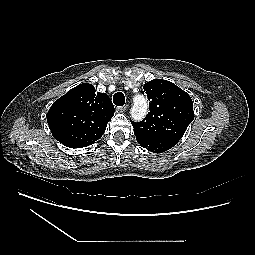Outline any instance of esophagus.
I'll use <instances>...</instances> for the list:
<instances>
[{"mask_svg": "<svg viewBox=\"0 0 255 255\" xmlns=\"http://www.w3.org/2000/svg\"><path fill=\"white\" fill-rule=\"evenodd\" d=\"M116 110L120 113H123L127 110V105H123V106H120V107H117Z\"/></svg>", "mask_w": 255, "mask_h": 255, "instance_id": "1", "label": "esophagus"}]
</instances>
